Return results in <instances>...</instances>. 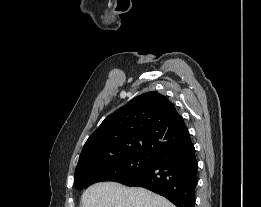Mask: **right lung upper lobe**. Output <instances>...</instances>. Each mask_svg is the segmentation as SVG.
<instances>
[{
	"label": "right lung upper lobe",
	"mask_w": 261,
	"mask_h": 207,
	"mask_svg": "<svg viewBox=\"0 0 261 207\" xmlns=\"http://www.w3.org/2000/svg\"><path fill=\"white\" fill-rule=\"evenodd\" d=\"M189 141L188 129L175 106L165 96L150 91L101 123L86 141L77 168L120 156L154 157Z\"/></svg>",
	"instance_id": "1"
}]
</instances>
